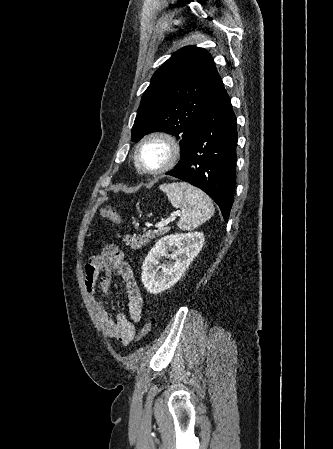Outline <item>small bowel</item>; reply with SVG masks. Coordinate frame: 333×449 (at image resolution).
<instances>
[{"label": "small bowel", "mask_w": 333, "mask_h": 449, "mask_svg": "<svg viewBox=\"0 0 333 449\" xmlns=\"http://www.w3.org/2000/svg\"><path fill=\"white\" fill-rule=\"evenodd\" d=\"M84 271L85 287L90 304L103 332L109 338H114L123 345L130 344L136 335V324L142 317L143 300L135 274L131 266L124 260L122 251L114 244L106 245L100 254L89 259ZM103 271L107 273L106 276H100ZM112 271H116L124 283L129 316L119 313L113 318L96 295L97 285L103 293L110 291L109 274Z\"/></svg>", "instance_id": "small-bowel-1"}]
</instances>
